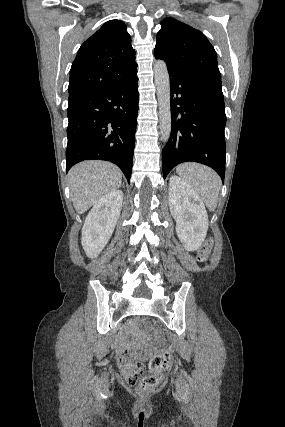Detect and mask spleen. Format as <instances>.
<instances>
[{
	"instance_id": "1",
	"label": "spleen",
	"mask_w": 285,
	"mask_h": 427,
	"mask_svg": "<svg viewBox=\"0 0 285 427\" xmlns=\"http://www.w3.org/2000/svg\"><path fill=\"white\" fill-rule=\"evenodd\" d=\"M176 172L195 190L210 211L216 209L221 179L214 170L201 164L184 163L176 168Z\"/></svg>"
}]
</instances>
